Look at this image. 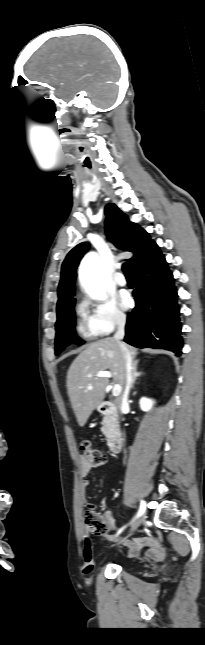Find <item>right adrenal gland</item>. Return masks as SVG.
<instances>
[{
    "instance_id": "right-adrenal-gland-1",
    "label": "right adrenal gland",
    "mask_w": 205,
    "mask_h": 645,
    "mask_svg": "<svg viewBox=\"0 0 205 645\" xmlns=\"http://www.w3.org/2000/svg\"><path fill=\"white\" fill-rule=\"evenodd\" d=\"M138 363H139L138 361H134L133 365H132V373H133V381H132V386H131L132 389L134 388V384L136 382V379L143 374V372H138L137 371Z\"/></svg>"
}]
</instances>
